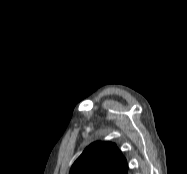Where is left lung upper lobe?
<instances>
[{"mask_svg": "<svg viewBox=\"0 0 187 174\" xmlns=\"http://www.w3.org/2000/svg\"><path fill=\"white\" fill-rule=\"evenodd\" d=\"M125 157L114 143L94 142L71 167L70 174H127Z\"/></svg>", "mask_w": 187, "mask_h": 174, "instance_id": "obj_1", "label": "left lung upper lobe"}]
</instances>
